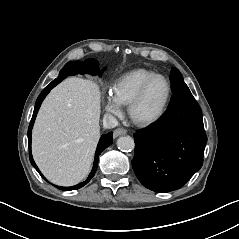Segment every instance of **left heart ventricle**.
<instances>
[{"label": "left heart ventricle", "instance_id": "b2bd125f", "mask_svg": "<svg viewBox=\"0 0 239 239\" xmlns=\"http://www.w3.org/2000/svg\"><path fill=\"white\" fill-rule=\"evenodd\" d=\"M168 94V86L164 79L155 80L146 91L137 107V115L142 118H152L162 109Z\"/></svg>", "mask_w": 239, "mask_h": 239}]
</instances>
